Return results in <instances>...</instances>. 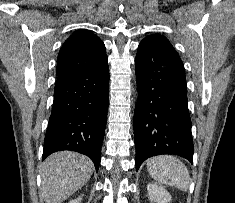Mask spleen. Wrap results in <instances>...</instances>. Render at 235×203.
<instances>
[{"label":"spleen","instance_id":"1","mask_svg":"<svg viewBox=\"0 0 235 203\" xmlns=\"http://www.w3.org/2000/svg\"><path fill=\"white\" fill-rule=\"evenodd\" d=\"M150 176L157 182L187 191L190 175L187 167L174 156H156L147 160Z\"/></svg>","mask_w":235,"mask_h":203}]
</instances>
